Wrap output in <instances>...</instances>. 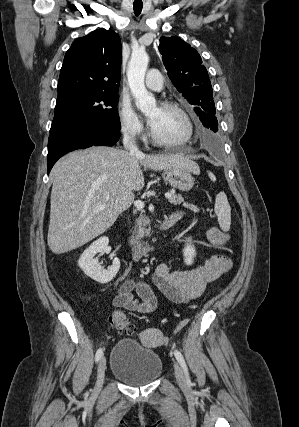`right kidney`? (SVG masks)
<instances>
[{
  "mask_svg": "<svg viewBox=\"0 0 299 427\" xmlns=\"http://www.w3.org/2000/svg\"><path fill=\"white\" fill-rule=\"evenodd\" d=\"M108 243V237L104 236L97 239L82 253L78 260V265L83 272L91 279L101 284L110 282L120 269V261L116 257L112 265L107 269L101 268L98 258H95V255L98 253L108 254L111 252V247L108 246Z\"/></svg>",
  "mask_w": 299,
  "mask_h": 427,
  "instance_id": "obj_1",
  "label": "right kidney"
}]
</instances>
